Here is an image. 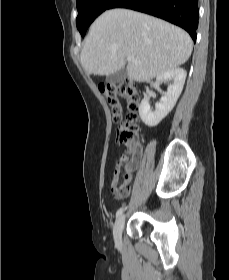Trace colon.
<instances>
[{
	"label": "colon",
	"mask_w": 229,
	"mask_h": 280,
	"mask_svg": "<svg viewBox=\"0 0 229 280\" xmlns=\"http://www.w3.org/2000/svg\"><path fill=\"white\" fill-rule=\"evenodd\" d=\"M100 91L110 107L113 121L119 125V142L125 145L129 153L137 151L135 137L139 119L137 110L140 90L131 79L127 78L118 83L103 84L100 86ZM121 100L127 102L126 111L121 105ZM122 160L129 165L130 156L125 155L122 157ZM111 189L113 192H124L129 187L127 184H116Z\"/></svg>",
	"instance_id": "5ec220e1"
}]
</instances>
